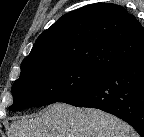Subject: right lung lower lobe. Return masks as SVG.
Returning a JSON list of instances; mask_svg holds the SVG:
<instances>
[{"label":"right lung lower lobe","instance_id":"98d812e1","mask_svg":"<svg viewBox=\"0 0 144 137\" xmlns=\"http://www.w3.org/2000/svg\"><path fill=\"white\" fill-rule=\"evenodd\" d=\"M61 102L111 113L144 137V53L115 67Z\"/></svg>","mask_w":144,"mask_h":137}]
</instances>
